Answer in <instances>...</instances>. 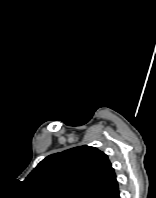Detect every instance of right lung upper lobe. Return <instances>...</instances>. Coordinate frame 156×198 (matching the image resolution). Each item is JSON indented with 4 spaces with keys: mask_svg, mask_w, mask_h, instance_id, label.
<instances>
[{
    "mask_svg": "<svg viewBox=\"0 0 156 198\" xmlns=\"http://www.w3.org/2000/svg\"><path fill=\"white\" fill-rule=\"evenodd\" d=\"M44 198H117L119 187L105 153L80 146L46 157L25 180Z\"/></svg>",
    "mask_w": 156,
    "mask_h": 198,
    "instance_id": "cb5924a9",
    "label": "right lung upper lobe"
}]
</instances>
